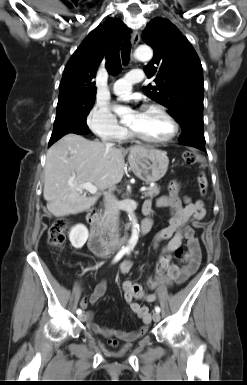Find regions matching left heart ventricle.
I'll return each mask as SVG.
<instances>
[{
  "label": "left heart ventricle",
  "instance_id": "obj_1",
  "mask_svg": "<svg viewBox=\"0 0 247 385\" xmlns=\"http://www.w3.org/2000/svg\"><path fill=\"white\" fill-rule=\"evenodd\" d=\"M128 125L150 139H162L171 132L168 120L156 110H141L133 113Z\"/></svg>",
  "mask_w": 247,
  "mask_h": 385
}]
</instances>
